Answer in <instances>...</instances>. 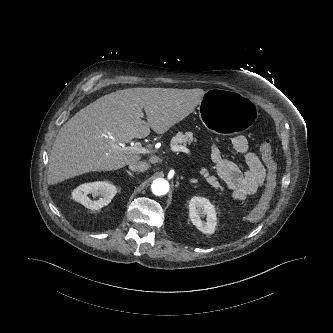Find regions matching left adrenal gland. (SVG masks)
<instances>
[{
    "instance_id": "a2214340",
    "label": "left adrenal gland",
    "mask_w": 333,
    "mask_h": 333,
    "mask_svg": "<svg viewBox=\"0 0 333 333\" xmlns=\"http://www.w3.org/2000/svg\"><path fill=\"white\" fill-rule=\"evenodd\" d=\"M189 181H190V183H197L198 182L197 179H190Z\"/></svg>"
}]
</instances>
